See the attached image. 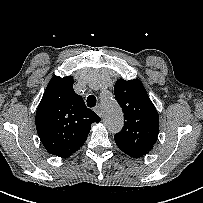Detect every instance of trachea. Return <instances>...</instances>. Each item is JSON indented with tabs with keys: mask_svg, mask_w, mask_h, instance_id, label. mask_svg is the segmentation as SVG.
Returning a JSON list of instances; mask_svg holds the SVG:
<instances>
[{
	"mask_svg": "<svg viewBox=\"0 0 203 203\" xmlns=\"http://www.w3.org/2000/svg\"><path fill=\"white\" fill-rule=\"evenodd\" d=\"M86 102H87V106L92 108L96 106L97 100L95 96L89 95Z\"/></svg>",
	"mask_w": 203,
	"mask_h": 203,
	"instance_id": "3493384b",
	"label": "trachea"
}]
</instances>
